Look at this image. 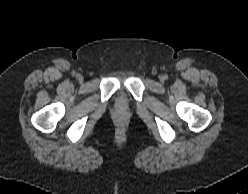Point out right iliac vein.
<instances>
[{
	"label": "right iliac vein",
	"mask_w": 248,
	"mask_h": 194,
	"mask_svg": "<svg viewBox=\"0 0 248 194\" xmlns=\"http://www.w3.org/2000/svg\"><path fill=\"white\" fill-rule=\"evenodd\" d=\"M79 80H80V81H82V80H83V78H82L81 76H79Z\"/></svg>",
	"instance_id": "63e3f726"
}]
</instances>
